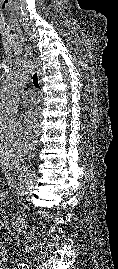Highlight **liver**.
Instances as JSON below:
<instances>
[{
  "label": "liver",
  "mask_w": 118,
  "mask_h": 269,
  "mask_svg": "<svg viewBox=\"0 0 118 269\" xmlns=\"http://www.w3.org/2000/svg\"><path fill=\"white\" fill-rule=\"evenodd\" d=\"M20 156L9 152L0 153V168L16 169L20 164Z\"/></svg>",
  "instance_id": "obj_1"
}]
</instances>
